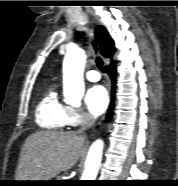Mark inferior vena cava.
I'll list each match as a JSON object with an SVG mask.
<instances>
[{
  "label": "inferior vena cava",
  "instance_id": "602c4592",
  "mask_svg": "<svg viewBox=\"0 0 178 186\" xmlns=\"http://www.w3.org/2000/svg\"><path fill=\"white\" fill-rule=\"evenodd\" d=\"M95 123V118L86 113L85 116H84V120L81 124V127L80 129L78 130L79 133H82L84 132L85 130L89 129L90 127H92V125Z\"/></svg>",
  "mask_w": 178,
  "mask_h": 186
}]
</instances>
